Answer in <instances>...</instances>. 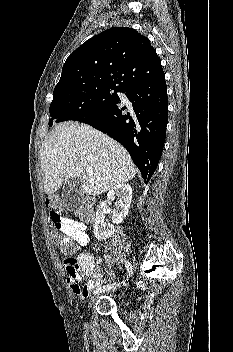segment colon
Wrapping results in <instances>:
<instances>
[{
  "label": "colon",
  "mask_w": 233,
  "mask_h": 352,
  "mask_svg": "<svg viewBox=\"0 0 233 352\" xmlns=\"http://www.w3.org/2000/svg\"><path fill=\"white\" fill-rule=\"evenodd\" d=\"M75 214L83 222H92L95 218L92 199L88 197L85 198L81 205L76 209ZM51 236L53 242L63 254L72 257L77 252V244L66 235L59 231H53Z\"/></svg>",
  "instance_id": "1"
}]
</instances>
